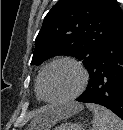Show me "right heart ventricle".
<instances>
[{"label": "right heart ventricle", "mask_w": 123, "mask_h": 130, "mask_svg": "<svg viewBox=\"0 0 123 130\" xmlns=\"http://www.w3.org/2000/svg\"><path fill=\"white\" fill-rule=\"evenodd\" d=\"M39 75H40V73L38 74V76L36 78V84H35L36 94H37L38 98H40V95H39Z\"/></svg>", "instance_id": "1"}]
</instances>
